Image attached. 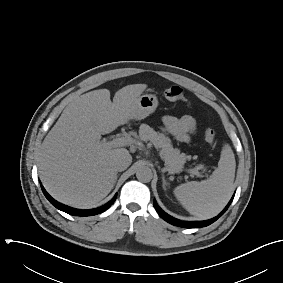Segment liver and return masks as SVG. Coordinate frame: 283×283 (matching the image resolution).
Returning <instances> with one entry per match:
<instances>
[{"mask_svg": "<svg viewBox=\"0 0 283 283\" xmlns=\"http://www.w3.org/2000/svg\"><path fill=\"white\" fill-rule=\"evenodd\" d=\"M146 84L127 85L115 93L99 89L72 100L45 137L39 157L42 183L56 200L88 207L112 190L117 177L115 159L129 153L109 148L102 134L114 131L132 119L133 105Z\"/></svg>", "mask_w": 283, "mask_h": 283, "instance_id": "6515ba94", "label": "liver"}]
</instances>
